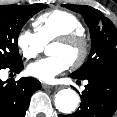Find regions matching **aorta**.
<instances>
[{"instance_id":"762f6f07","label":"aorta","mask_w":117,"mask_h":117,"mask_svg":"<svg viewBox=\"0 0 117 117\" xmlns=\"http://www.w3.org/2000/svg\"><path fill=\"white\" fill-rule=\"evenodd\" d=\"M79 96L78 94L72 90V89H63L60 90L55 95V106L56 108L64 113V114H70L77 108L79 104Z\"/></svg>"}]
</instances>
